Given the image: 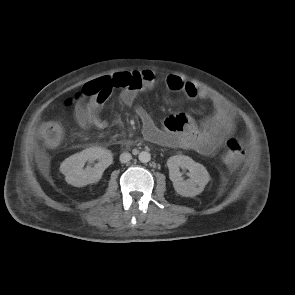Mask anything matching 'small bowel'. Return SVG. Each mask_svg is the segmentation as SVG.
I'll use <instances>...</instances> for the list:
<instances>
[{
	"label": "small bowel",
	"mask_w": 295,
	"mask_h": 295,
	"mask_svg": "<svg viewBox=\"0 0 295 295\" xmlns=\"http://www.w3.org/2000/svg\"><path fill=\"white\" fill-rule=\"evenodd\" d=\"M132 74L139 77L140 84L123 89L120 99L125 105H134L135 112L143 123V135L148 141L166 147L192 150L201 155H211L235 132V119L228 105L209 91L176 75H163L151 70ZM100 80L102 79L91 81L82 87L88 91V101H85L87 97L76 101L74 118L83 131L92 127L105 129L108 126L102 111L111 92L95 87ZM160 82H164L169 92H179L187 98L208 102L213 109L212 115L198 124L191 116L176 113L168 116L162 126L158 127L147 110L136 104V100L140 93Z\"/></svg>",
	"instance_id": "small-bowel-1"
}]
</instances>
